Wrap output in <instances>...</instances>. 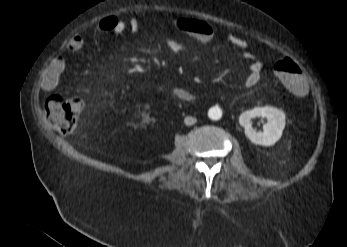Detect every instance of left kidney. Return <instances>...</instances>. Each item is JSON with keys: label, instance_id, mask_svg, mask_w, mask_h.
Listing matches in <instances>:
<instances>
[{"label": "left kidney", "instance_id": "1", "mask_svg": "<svg viewBox=\"0 0 347 247\" xmlns=\"http://www.w3.org/2000/svg\"><path fill=\"white\" fill-rule=\"evenodd\" d=\"M256 117L267 119V123L264 124L262 132H257L252 127L251 120ZM239 123L244 127L245 135L252 143L262 146H272L282 136V132L285 128V114L275 107H255L243 112L239 117Z\"/></svg>", "mask_w": 347, "mask_h": 247}]
</instances>
